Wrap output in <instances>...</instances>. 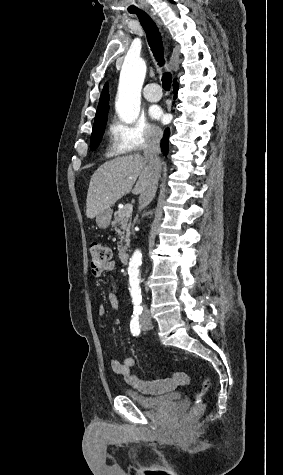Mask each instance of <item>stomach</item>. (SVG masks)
I'll return each instance as SVG.
<instances>
[{"label": "stomach", "instance_id": "0dacf381", "mask_svg": "<svg viewBox=\"0 0 283 475\" xmlns=\"http://www.w3.org/2000/svg\"><path fill=\"white\" fill-rule=\"evenodd\" d=\"M113 210H103V212H100L98 216H95L96 218V224L98 228H108L111 218H112Z\"/></svg>", "mask_w": 283, "mask_h": 475}]
</instances>
